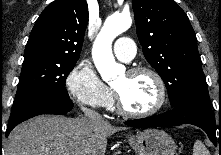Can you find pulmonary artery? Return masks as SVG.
<instances>
[{"instance_id": "e3ab8cb5", "label": "pulmonary artery", "mask_w": 221, "mask_h": 155, "mask_svg": "<svg viewBox=\"0 0 221 155\" xmlns=\"http://www.w3.org/2000/svg\"><path fill=\"white\" fill-rule=\"evenodd\" d=\"M114 54L123 62L131 61L135 56V44L128 37L119 38L114 44Z\"/></svg>"}]
</instances>
